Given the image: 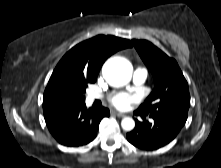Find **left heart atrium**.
Masks as SVG:
<instances>
[{
	"label": "left heart atrium",
	"mask_w": 221,
	"mask_h": 168,
	"mask_svg": "<svg viewBox=\"0 0 221 168\" xmlns=\"http://www.w3.org/2000/svg\"><path fill=\"white\" fill-rule=\"evenodd\" d=\"M137 101L138 97L129 93H118L111 99L112 104L120 110L128 109L132 103Z\"/></svg>",
	"instance_id": "obj_1"
}]
</instances>
